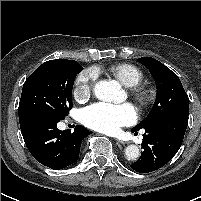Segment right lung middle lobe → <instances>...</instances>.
I'll return each mask as SVG.
<instances>
[{"instance_id":"dd1d6c3e","label":"right lung middle lobe","mask_w":201,"mask_h":201,"mask_svg":"<svg viewBox=\"0 0 201 201\" xmlns=\"http://www.w3.org/2000/svg\"><path fill=\"white\" fill-rule=\"evenodd\" d=\"M82 70L74 60H50L40 65L23 85L19 122L36 114L63 120L72 108L74 80Z\"/></svg>"}]
</instances>
